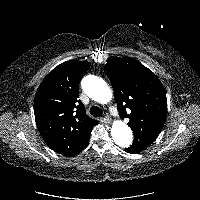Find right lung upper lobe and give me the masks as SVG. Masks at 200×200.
Wrapping results in <instances>:
<instances>
[{"label":"right lung upper lobe","instance_id":"1","mask_svg":"<svg viewBox=\"0 0 200 200\" xmlns=\"http://www.w3.org/2000/svg\"><path fill=\"white\" fill-rule=\"evenodd\" d=\"M90 67L85 61H66L42 81L34 99V115L39 132L57 153L74 156L89 141L98 121L85 113L78 99L81 77Z\"/></svg>","mask_w":200,"mask_h":200}]
</instances>
